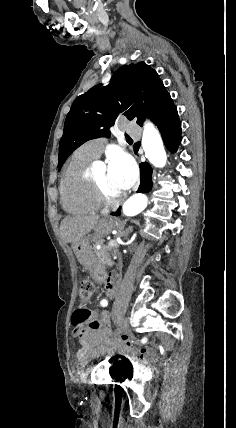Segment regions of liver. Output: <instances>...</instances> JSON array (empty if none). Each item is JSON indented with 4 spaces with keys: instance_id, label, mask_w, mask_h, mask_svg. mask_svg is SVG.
Listing matches in <instances>:
<instances>
[{
    "instance_id": "obj_1",
    "label": "liver",
    "mask_w": 236,
    "mask_h": 428,
    "mask_svg": "<svg viewBox=\"0 0 236 428\" xmlns=\"http://www.w3.org/2000/svg\"><path fill=\"white\" fill-rule=\"evenodd\" d=\"M99 224V216H66L60 224V236L64 242H78Z\"/></svg>"
}]
</instances>
